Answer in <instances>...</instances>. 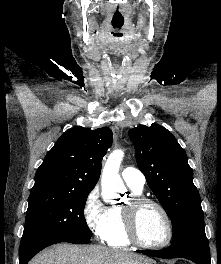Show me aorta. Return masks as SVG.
Returning a JSON list of instances; mask_svg holds the SVG:
<instances>
[{"label":"aorta","instance_id":"762f6f07","mask_svg":"<svg viewBox=\"0 0 221 264\" xmlns=\"http://www.w3.org/2000/svg\"><path fill=\"white\" fill-rule=\"evenodd\" d=\"M124 157L122 150L113 151L107 158L101 176V194L108 201L119 197L125 190L124 183L119 175V168Z\"/></svg>","mask_w":221,"mask_h":264}]
</instances>
